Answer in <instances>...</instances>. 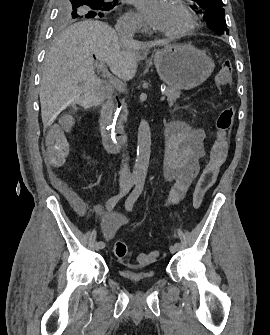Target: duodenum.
Returning <instances> with one entry per match:
<instances>
[{
    "mask_svg": "<svg viewBox=\"0 0 270 335\" xmlns=\"http://www.w3.org/2000/svg\"><path fill=\"white\" fill-rule=\"evenodd\" d=\"M114 111V101L109 100L102 108L99 126L102 143L108 152H118L122 147L121 140L115 135L112 129V118Z\"/></svg>",
    "mask_w": 270,
    "mask_h": 335,
    "instance_id": "1",
    "label": "duodenum"
}]
</instances>
